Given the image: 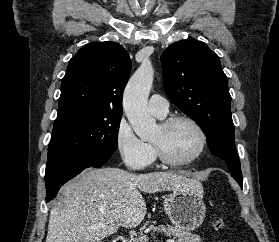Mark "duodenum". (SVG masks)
<instances>
[{
  "label": "duodenum",
  "mask_w": 279,
  "mask_h": 242,
  "mask_svg": "<svg viewBox=\"0 0 279 242\" xmlns=\"http://www.w3.org/2000/svg\"><path fill=\"white\" fill-rule=\"evenodd\" d=\"M113 242H128V241L123 237H118V238H115Z\"/></svg>",
  "instance_id": "duodenum-1"
}]
</instances>
